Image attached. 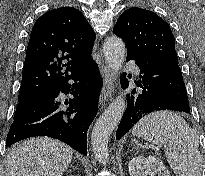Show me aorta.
<instances>
[{"mask_svg": "<svg viewBox=\"0 0 205 176\" xmlns=\"http://www.w3.org/2000/svg\"><path fill=\"white\" fill-rule=\"evenodd\" d=\"M103 53L108 66L118 73L123 65L126 55V48L123 40L117 36L109 37L103 44ZM125 108L126 105L124 99L121 96L117 97L108 106L93 127L91 135L93 152L97 160L103 164H106L109 157V137L119 124Z\"/></svg>", "mask_w": 205, "mask_h": 176, "instance_id": "obj_1", "label": "aorta"}]
</instances>
